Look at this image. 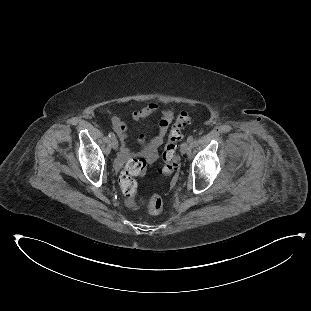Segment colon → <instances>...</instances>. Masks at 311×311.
<instances>
[{
    "instance_id": "5ec220e1",
    "label": "colon",
    "mask_w": 311,
    "mask_h": 311,
    "mask_svg": "<svg viewBox=\"0 0 311 311\" xmlns=\"http://www.w3.org/2000/svg\"><path fill=\"white\" fill-rule=\"evenodd\" d=\"M191 116L188 112H179L169 130L162 154L163 165L160 173L163 176H170L179 169L177 158L178 143L182 138L183 129L191 124ZM147 162L145 158L138 156L129 163L120 176V186L123 194L128 199H133L137 193V182L135 176L145 171ZM164 208L163 200L159 195L148 198L147 209L151 214H159Z\"/></svg>"
}]
</instances>
